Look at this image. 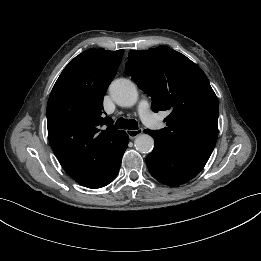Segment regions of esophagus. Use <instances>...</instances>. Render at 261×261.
I'll list each match as a JSON object with an SVG mask.
<instances>
[{
    "label": "esophagus",
    "instance_id": "obj_1",
    "mask_svg": "<svg viewBox=\"0 0 261 261\" xmlns=\"http://www.w3.org/2000/svg\"><path fill=\"white\" fill-rule=\"evenodd\" d=\"M142 132H143V130L141 128H139L137 130H127V134L130 139L136 138L137 136L141 135Z\"/></svg>",
    "mask_w": 261,
    "mask_h": 261
}]
</instances>
